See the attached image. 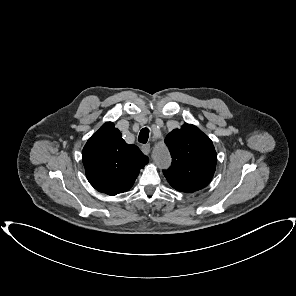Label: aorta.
<instances>
[{"label":"aorta","mask_w":296,"mask_h":296,"mask_svg":"<svg viewBox=\"0 0 296 296\" xmlns=\"http://www.w3.org/2000/svg\"><path fill=\"white\" fill-rule=\"evenodd\" d=\"M157 163L160 166H165L168 163V156L167 152L164 149H161L159 151L158 157H157Z\"/></svg>","instance_id":"762f6f07"}]
</instances>
